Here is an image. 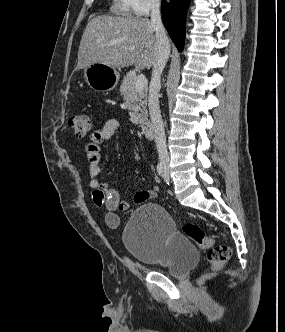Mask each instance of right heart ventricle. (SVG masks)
<instances>
[{
  "mask_svg": "<svg viewBox=\"0 0 285 332\" xmlns=\"http://www.w3.org/2000/svg\"><path fill=\"white\" fill-rule=\"evenodd\" d=\"M110 11L115 15L125 17L132 14L129 0H112Z\"/></svg>",
  "mask_w": 285,
  "mask_h": 332,
  "instance_id": "right-heart-ventricle-1",
  "label": "right heart ventricle"
}]
</instances>
